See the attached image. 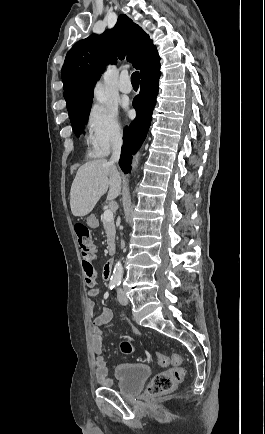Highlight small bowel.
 Returning a JSON list of instances; mask_svg holds the SVG:
<instances>
[{
	"mask_svg": "<svg viewBox=\"0 0 265 434\" xmlns=\"http://www.w3.org/2000/svg\"><path fill=\"white\" fill-rule=\"evenodd\" d=\"M99 293H100V289L98 287H92L91 289H89L87 293L86 307L90 312V314H93L94 307H95L94 299L99 295ZM112 316H113L112 310L108 307H104L98 316L92 318L91 346L95 354L93 375L95 380L99 383L100 387H110L112 385V380L110 378H107L108 368L106 365V361L102 356L103 326L110 322ZM124 320L128 324V328L130 332L136 338L139 339L140 333L138 329L132 326L126 317H124ZM167 365H162V366H167Z\"/></svg>",
	"mask_w": 265,
	"mask_h": 434,
	"instance_id": "c3829d8e",
	"label": "small bowel"
}]
</instances>
